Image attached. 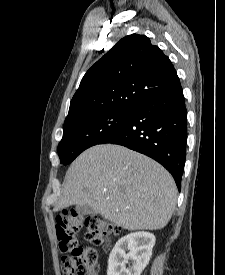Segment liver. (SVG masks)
Wrapping results in <instances>:
<instances>
[{
  "label": "liver",
  "mask_w": 225,
  "mask_h": 275,
  "mask_svg": "<svg viewBox=\"0 0 225 275\" xmlns=\"http://www.w3.org/2000/svg\"><path fill=\"white\" fill-rule=\"evenodd\" d=\"M177 188L169 172L151 158L114 144L95 145L70 165L58 212L87 205L127 230H158L175 209Z\"/></svg>",
  "instance_id": "1"
}]
</instances>
